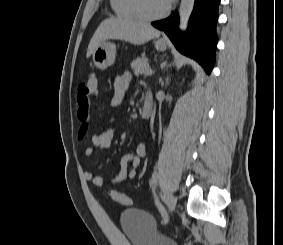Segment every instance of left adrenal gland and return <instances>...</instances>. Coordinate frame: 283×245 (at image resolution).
I'll return each mask as SVG.
<instances>
[{
  "label": "left adrenal gland",
  "mask_w": 283,
  "mask_h": 245,
  "mask_svg": "<svg viewBox=\"0 0 283 245\" xmlns=\"http://www.w3.org/2000/svg\"><path fill=\"white\" fill-rule=\"evenodd\" d=\"M169 84L168 79L166 80V86Z\"/></svg>",
  "instance_id": "a2214340"
}]
</instances>
